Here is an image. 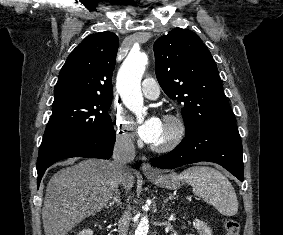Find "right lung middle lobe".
Here are the masks:
<instances>
[{
    "mask_svg": "<svg viewBox=\"0 0 283 235\" xmlns=\"http://www.w3.org/2000/svg\"><path fill=\"white\" fill-rule=\"evenodd\" d=\"M112 97H72L53 103L39 156L77 138H92L113 131L108 114Z\"/></svg>",
    "mask_w": 283,
    "mask_h": 235,
    "instance_id": "1",
    "label": "right lung middle lobe"
}]
</instances>
